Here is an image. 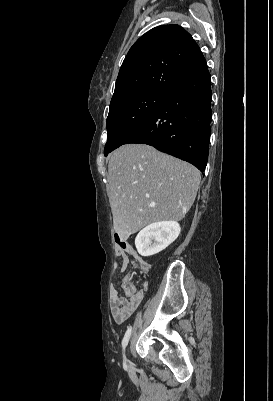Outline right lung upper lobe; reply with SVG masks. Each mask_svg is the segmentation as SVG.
<instances>
[{
    "label": "right lung upper lobe",
    "mask_w": 273,
    "mask_h": 401,
    "mask_svg": "<svg viewBox=\"0 0 273 401\" xmlns=\"http://www.w3.org/2000/svg\"><path fill=\"white\" fill-rule=\"evenodd\" d=\"M206 67L199 46L182 27L162 25L153 28L127 53L111 102L142 91L166 93Z\"/></svg>",
    "instance_id": "right-lung-upper-lobe-1"
}]
</instances>
